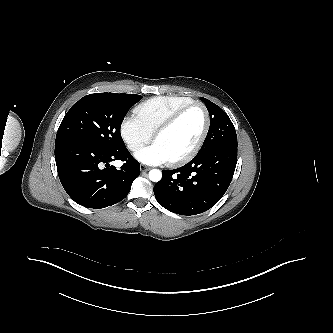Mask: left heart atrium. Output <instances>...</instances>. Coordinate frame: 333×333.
<instances>
[{
    "mask_svg": "<svg viewBox=\"0 0 333 333\" xmlns=\"http://www.w3.org/2000/svg\"><path fill=\"white\" fill-rule=\"evenodd\" d=\"M135 157L142 163L158 165L169 161L163 149L154 142L152 145L139 150Z\"/></svg>",
    "mask_w": 333,
    "mask_h": 333,
    "instance_id": "1",
    "label": "left heart atrium"
}]
</instances>
